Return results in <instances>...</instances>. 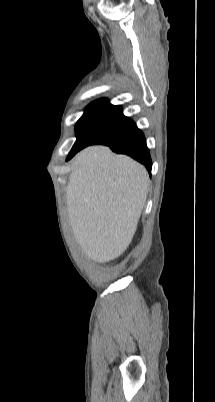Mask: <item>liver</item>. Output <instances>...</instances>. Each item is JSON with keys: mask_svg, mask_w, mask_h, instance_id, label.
<instances>
[{"mask_svg": "<svg viewBox=\"0 0 215 402\" xmlns=\"http://www.w3.org/2000/svg\"><path fill=\"white\" fill-rule=\"evenodd\" d=\"M148 185L143 165L106 146H90L75 156L66 205L73 235L89 259L109 262L128 248Z\"/></svg>", "mask_w": 215, "mask_h": 402, "instance_id": "1", "label": "liver"}]
</instances>
